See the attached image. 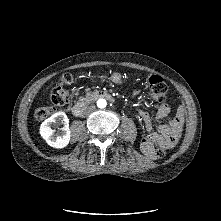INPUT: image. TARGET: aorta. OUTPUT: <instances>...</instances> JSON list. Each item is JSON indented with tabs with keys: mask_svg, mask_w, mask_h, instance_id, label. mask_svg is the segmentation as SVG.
Returning a JSON list of instances; mask_svg holds the SVG:
<instances>
[{
	"mask_svg": "<svg viewBox=\"0 0 221 221\" xmlns=\"http://www.w3.org/2000/svg\"><path fill=\"white\" fill-rule=\"evenodd\" d=\"M107 105V102L105 99H99L97 100V107L98 108H105Z\"/></svg>",
	"mask_w": 221,
	"mask_h": 221,
	"instance_id": "762f6f07",
	"label": "aorta"
}]
</instances>
